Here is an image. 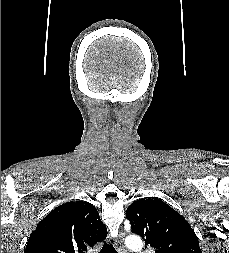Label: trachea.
Here are the masks:
<instances>
[{
  "mask_svg": "<svg viewBox=\"0 0 229 253\" xmlns=\"http://www.w3.org/2000/svg\"><path fill=\"white\" fill-rule=\"evenodd\" d=\"M100 253H117L112 244L104 243Z\"/></svg>",
  "mask_w": 229,
  "mask_h": 253,
  "instance_id": "obj_1",
  "label": "trachea"
}]
</instances>
